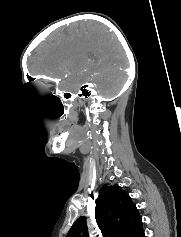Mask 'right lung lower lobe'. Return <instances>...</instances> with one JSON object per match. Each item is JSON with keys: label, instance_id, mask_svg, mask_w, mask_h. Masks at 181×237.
Listing matches in <instances>:
<instances>
[{"label": "right lung lower lobe", "instance_id": "obj_1", "mask_svg": "<svg viewBox=\"0 0 181 237\" xmlns=\"http://www.w3.org/2000/svg\"><path fill=\"white\" fill-rule=\"evenodd\" d=\"M139 237H145L144 232H142V233L139 235Z\"/></svg>", "mask_w": 181, "mask_h": 237}]
</instances>
